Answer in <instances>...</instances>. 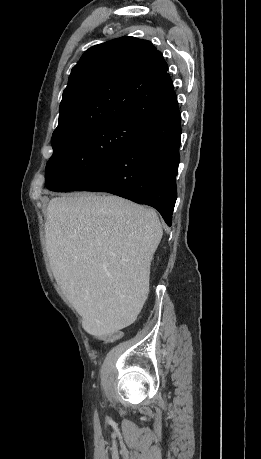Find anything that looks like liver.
I'll list each match as a JSON object with an SVG mask.
<instances>
[{
	"instance_id": "liver-1",
	"label": "liver",
	"mask_w": 261,
	"mask_h": 459,
	"mask_svg": "<svg viewBox=\"0 0 261 459\" xmlns=\"http://www.w3.org/2000/svg\"><path fill=\"white\" fill-rule=\"evenodd\" d=\"M163 235L153 209L124 198H52L45 223L49 262L65 297L94 336L123 328Z\"/></svg>"
}]
</instances>
